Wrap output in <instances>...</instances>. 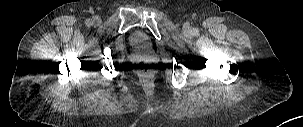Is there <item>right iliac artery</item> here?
<instances>
[{
	"label": "right iliac artery",
	"mask_w": 303,
	"mask_h": 127,
	"mask_svg": "<svg viewBox=\"0 0 303 127\" xmlns=\"http://www.w3.org/2000/svg\"><path fill=\"white\" fill-rule=\"evenodd\" d=\"M85 23H86L87 26H90L92 24V20L91 19H87L85 21Z\"/></svg>",
	"instance_id": "1"
}]
</instances>
